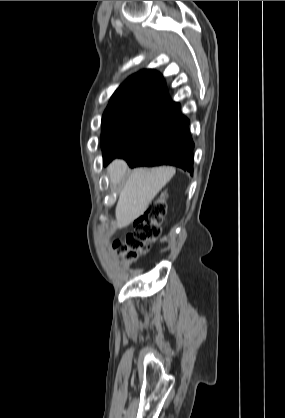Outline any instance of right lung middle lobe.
<instances>
[{
	"label": "right lung middle lobe",
	"instance_id": "right-lung-middle-lobe-1",
	"mask_svg": "<svg viewBox=\"0 0 285 418\" xmlns=\"http://www.w3.org/2000/svg\"><path fill=\"white\" fill-rule=\"evenodd\" d=\"M173 109L142 103L108 106L102 117L103 159L118 156L163 124Z\"/></svg>",
	"mask_w": 285,
	"mask_h": 418
}]
</instances>
